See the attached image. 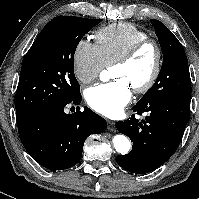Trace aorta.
I'll use <instances>...</instances> for the list:
<instances>
[{"mask_svg":"<svg viewBox=\"0 0 199 199\" xmlns=\"http://www.w3.org/2000/svg\"><path fill=\"white\" fill-rule=\"evenodd\" d=\"M105 73L106 71L101 72L100 74L101 80H104ZM113 145H114L115 150L122 155L127 154L131 148V143L129 139L122 134L114 136Z\"/></svg>","mask_w":199,"mask_h":199,"instance_id":"obj_1","label":"aorta"}]
</instances>
